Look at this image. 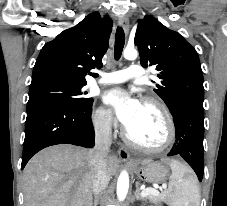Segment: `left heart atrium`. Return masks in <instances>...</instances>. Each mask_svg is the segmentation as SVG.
Listing matches in <instances>:
<instances>
[{"instance_id":"1","label":"left heart atrium","mask_w":227,"mask_h":206,"mask_svg":"<svg viewBox=\"0 0 227 206\" xmlns=\"http://www.w3.org/2000/svg\"><path fill=\"white\" fill-rule=\"evenodd\" d=\"M104 102L113 110L125 130H129L137 120L142 103L123 89H112L104 96Z\"/></svg>"}]
</instances>
